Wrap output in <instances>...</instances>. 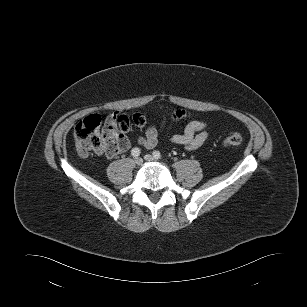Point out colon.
Wrapping results in <instances>:
<instances>
[{"mask_svg":"<svg viewBox=\"0 0 307 307\" xmlns=\"http://www.w3.org/2000/svg\"><path fill=\"white\" fill-rule=\"evenodd\" d=\"M146 117L141 113L128 116L125 114L111 116V122L122 133L128 132L133 126L143 127L146 124ZM110 124L104 122L101 116L93 114L78 122L74 128V139L77 151L80 155L86 156L90 152H107L109 150L106 129ZM240 133H232L223 140L225 147H236L242 143Z\"/></svg>","mask_w":307,"mask_h":307,"instance_id":"obj_1","label":"colon"}]
</instances>
